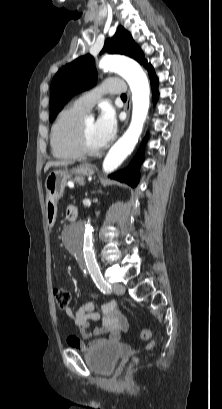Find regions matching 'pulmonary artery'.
Instances as JSON below:
<instances>
[{
  "mask_svg": "<svg viewBox=\"0 0 222 409\" xmlns=\"http://www.w3.org/2000/svg\"><path fill=\"white\" fill-rule=\"evenodd\" d=\"M124 91V84H112L106 80L97 87L81 95L75 103L85 111H89L100 101L103 95L108 93L122 94Z\"/></svg>",
  "mask_w": 222,
  "mask_h": 409,
  "instance_id": "pulmonary-artery-1",
  "label": "pulmonary artery"
}]
</instances>
